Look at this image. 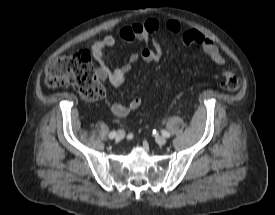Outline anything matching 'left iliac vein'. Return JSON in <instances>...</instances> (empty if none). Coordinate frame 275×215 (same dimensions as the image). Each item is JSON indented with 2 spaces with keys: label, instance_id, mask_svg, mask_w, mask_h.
<instances>
[{
  "label": "left iliac vein",
  "instance_id": "4c4485c4",
  "mask_svg": "<svg viewBox=\"0 0 275 215\" xmlns=\"http://www.w3.org/2000/svg\"><path fill=\"white\" fill-rule=\"evenodd\" d=\"M155 140L159 145H164L167 141L163 136H156Z\"/></svg>",
  "mask_w": 275,
  "mask_h": 215
}]
</instances>
